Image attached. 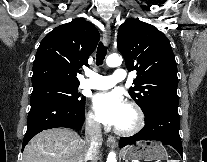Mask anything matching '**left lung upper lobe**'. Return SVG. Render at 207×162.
<instances>
[{
	"label": "left lung upper lobe",
	"mask_w": 207,
	"mask_h": 162,
	"mask_svg": "<svg viewBox=\"0 0 207 162\" xmlns=\"http://www.w3.org/2000/svg\"><path fill=\"white\" fill-rule=\"evenodd\" d=\"M118 50L138 76L130 95L146 115L157 102H178L177 65L168 38L156 27L128 18L119 27Z\"/></svg>",
	"instance_id": "obj_1"
}]
</instances>
